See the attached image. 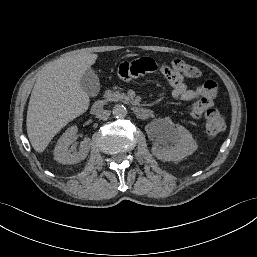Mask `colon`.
Instances as JSON below:
<instances>
[{
    "mask_svg": "<svg viewBox=\"0 0 257 257\" xmlns=\"http://www.w3.org/2000/svg\"><path fill=\"white\" fill-rule=\"evenodd\" d=\"M173 68L180 70L185 78H197L200 76V71L193 65L181 59H175L168 63ZM206 133L209 138H217L225 128V122L223 116L216 109H209L206 112L205 122Z\"/></svg>",
    "mask_w": 257,
    "mask_h": 257,
    "instance_id": "obj_1",
    "label": "colon"
}]
</instances>
